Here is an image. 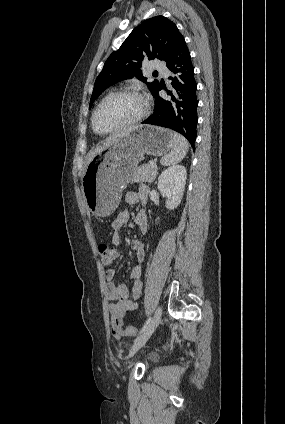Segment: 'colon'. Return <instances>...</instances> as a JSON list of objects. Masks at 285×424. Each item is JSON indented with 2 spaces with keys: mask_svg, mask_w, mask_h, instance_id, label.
Masks as SVG:
<instances>
[{
  "mask_svg": "<svg viewBox=\"0 0 285 424\" xmlns=\"http://www.w3.org/2000/svg\"><path fill=\"white\" fill-rule=\"evenodd\" d=\"M98 250H99V254L101 256L102 262L105 265H111V264H113L115 262L117 256H118V252H117L116 248L111 247V246H109L107 244L101 243L99 245V247H98ZM114 325L117 328L120 325L117 318H114ZM126 331L128 333H130L131 335H135L136 332H137L136 329H134L132 327H127L126 328Z\"/></svg>",
  "mask_w": 285,
  "mask_h": 424,
  "instance_id": "colon-1",
  "label": "colon"
}]
</instances>
